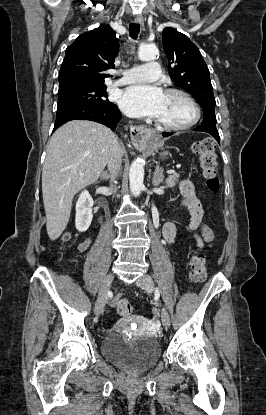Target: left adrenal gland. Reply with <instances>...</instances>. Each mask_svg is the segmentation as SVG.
Segmentation results:
<instances>
[{
  "mask_svg": "<svg viewBox=\"0 0 266 415\" xmlns=\"http://www.w3.org/2000/svg\"><path fill=\"white\" fill-rule=\"evenodd\" d=\"M163 169L160 168L159 163H157L155 171L152 177V184L154 186H159L160 183L163 181Z\"/></svg>",
  "mask_w": 266,
  "mask_h": 415,
  "instance_id": "a2214340",
  "label": "left adrenal gland"
}]
</instances>
